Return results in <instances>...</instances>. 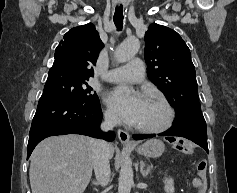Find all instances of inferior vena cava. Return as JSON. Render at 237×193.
Segmentation results:
<instances>
[{"label": "inferior vena cava", "instance_id": "1", "mask_svg": "<svg viewBox=\"0 0 237 193\" xmlns=\"http://www.w3.org/2000/svg\"><path fill=\"white\" fill-rule=\"evenodd\" d=\"M119 123L116 114L106 112L101 123V130L106 132L112 130ZM110 144L104 140L96 139L93 147V168L96 179L101 186H106L110 181Z\"/></svg>", "mask_w": 237, "mask_h": 193}]
</instances>
